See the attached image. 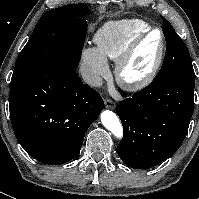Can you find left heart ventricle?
<instances>
[{"label":"left heart ventricle","instance_id":"b2bd125f","mask_svg":"<svg viewBox=\"0 0 199 199\" xmlns=\"http://www.w3.org/2000/svg\"><path fill=\"white\" fill-rule=\"evenodd\" d=\"M160 43L161 37L158 32H154L144 39L128 64L126 75L130 78H139L145 75L156 60Z\"/></svg>","mask_w":199,"mask_h":199}]
</instances>
